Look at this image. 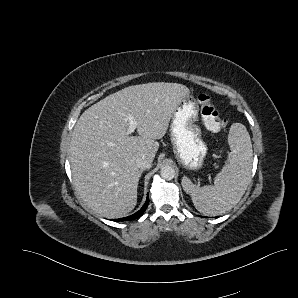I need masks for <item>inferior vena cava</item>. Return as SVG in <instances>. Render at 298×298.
Instances as JSON below:
<instances>
[{
	"label": "inferior vena cava",
	"mask_w": 298,
	"mask_h": 298,
	"mask_svg": "<svg viewBox=\"0 0 298 298\" xmlns=\"http://www.w3.org/2000/svg\"><path fill=\"white\" fill-rule=\"evenodd\" d=\"M135 165L137 168L141 169H151L152 168V160L145 158V157H140L136 159Z\"/></svg>",
	"instance_id": "602c4592"
}]
</instances>
